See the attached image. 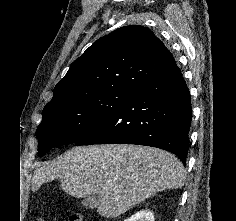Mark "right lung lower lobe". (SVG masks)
Here are the masks:
<instances>
[{
  "instance_id": "right-lung-lower-lobe-1",
  "label": "right lung lower lobe",
  "mask_w": 236,
  "mask_h": 221,
  "mask_svg": "<svg viewBox=\"0 0 236 221\" xmlns=\"http://www.w3.org/2000/svg\"><path fill=\"white\" fill-rule=\"evenodd\" d=\"M191 118L190 93L175 63L139 87L132 97L75 144L152 146L176 154L185 164Z\"/></svg>"
}]
</instances>
